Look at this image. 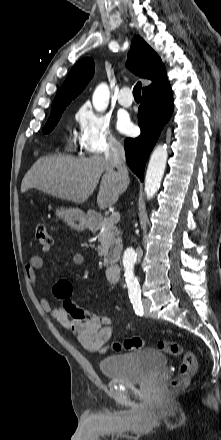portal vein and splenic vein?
I'll list each match as a JSON object with an SVG mask.
<instances>
[{
    "label": "portal vein and splenic vein",
    "mask_w": 221,
    "mask_h": 440,
    "mask_svg": "<svg viewBox=\"0 0 221 440\" xmlns=\"http://www.w3.org/2000/svg\"><path fill=\"white\" fill-rule=\"evenodd\" d=\"M119 220H120V214L118 212H113L110 216V221L115 224L118 223Z\"/></svg>",
    "instance_id": "1"
}]
</instances>
